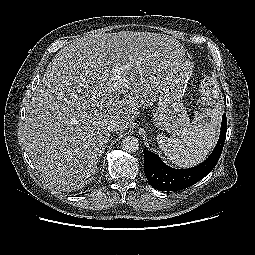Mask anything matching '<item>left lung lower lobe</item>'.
<instances>
[{
  "label": "left lung lower lobe",
  "instance_id": "obj_1",
  "mask_svg": "<svg viewBox=\"0 0 255 255\" xmlns=\"http://www.w3.org/2000/svg\"><path fill=\"white\" fill-rule=\"evenodd\" d=\"M227 132L226 114H223L219 140L210 156L201 164L188 169L167 166L158 155L144 149L145 175L150 185L159 191H177L188 188L207 176L216 166Z\"/></svg>",
  "mask_w": 255,
  "mask_h": 255
}]
</instances>
